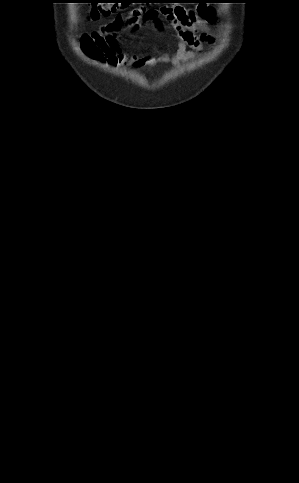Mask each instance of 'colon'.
Listing matches in <instances>:
<instances>
[{
	"instance_id": "obj_1",
	"label": "colon",
	"mask_w": 299,
	"mask_h": 483,
	"mask_svg": "<svg viewBox=\"0 0 299 483\" xmlns=\"http://www.w3.org/2000/svg\"><path fill=\"white\" fill-rule=\"evenodd\" d=\"M93 3L94 7L90 11V16L92 18L109 17L125 6L124 1L122 0H97ZM200 12L204 15L203 10Z\"/></svg>"
}]
</instances>
